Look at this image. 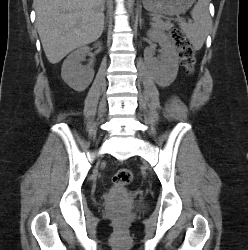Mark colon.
Segmentation results:
<instances>
[{
  "instance_id": "obj_1",
  "label": "colon",
  "mask_w": 248,
  "mask_h": 250,
  "mask_svg": "<svg viewBox=\"0 0 248 250\" xmlns=\"http://www.w3.org/2000/svg\"><path fill=\"white\" fill-rule=\"evenodd\" d=\"M170 37L174 46L179 51L182 65L188 73H192L196 65V54L189 39L177 28L170 31ZM132 179V172L127 168L119 169L113 175V182L118 185H129Z\"/></svg>"
}]
</instances>
